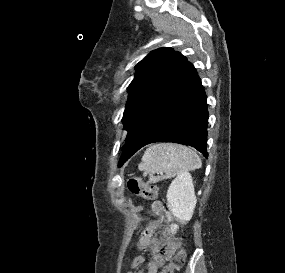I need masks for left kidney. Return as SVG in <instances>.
Listing matches in <instances>:
<instances>
[{
	"mask_svg": "<svg viewBox=\"0 0 285 273\" xmlns=\"http://www.w3.org/2000/svg\"><path fill=\"white\" fill-rule=\"evenodd\" d=\"M166 197L170 213L181 222L189 221L197 202L191 174L183 172L178 175L169 186ZM170 227L172 232L178 229L176 224Z\"/></svg>",
	"mask_w": 285,
	"mask_h": 273,
	"instance_id": "1",
	"label": "left kidney"
}]
</instances>
